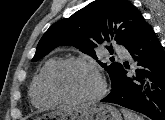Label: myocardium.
<instances>
[{
    "instance_id": "myocardium-1",
    "label": "myocardium",
    "mask_w": 165,
    "mask_h": 120,
    "mask_svg": "<svg viewBox=\"0 0 165 120\" xmlns=\"http://www.w3.org/2000/svg\"><path fill=\"white\" fill-rule=\"evenodd\" d=\"M70 65H81V66L87 67L96 74L100 82V88L96 94L86 97V98L72 99V98H67L61 95L56 90L54 86V80H55L56 75L59 73L60 70ZM45 87L48 94L57 102L68 103V104H91V103H95L99 101L105 95L107 84L102 73L100 72V70L97 68V66L94 63L83 58L70 57V58L61 59L53 65V67L50 69V71L48 72L46 76Z\"/></svg>"
}]
</instances>
